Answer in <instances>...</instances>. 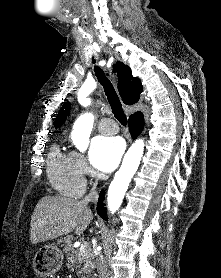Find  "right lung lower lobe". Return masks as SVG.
Listing matches in <instances>:
<instances>
[{"label": "right lung lower lobe", "mask_w": 221, "mask_h": 278, "mask_svg": "<svg viewBox=\"0 0 221 278\" xmlns=\"http://www.w3.org/2000/svg\"><path fill=\"white\" fill-rule=\"evenodd\" d=\"M143 126H144L143 115L133 116L129 118V131L133 139H135L142 132ZM104 195H105L104 191H101L99 194L97 212L101 218L107 220L106 208L103 207Z\"/></svg>", "instance_id": "right-lung-lower-lobe-1"}]
</instances>
